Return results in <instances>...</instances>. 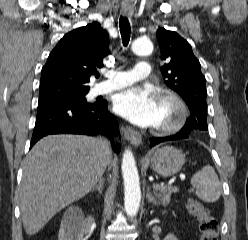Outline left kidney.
I'll use <instances>...</instances> for the list:
<instances>
[{"label":"left kidney","instance_id":"obj_1","mask_svg":"<svg viewBox=\"0 0 248 240\" xmlns=\"http://www.w3.org/2000/svg\"><path fill=\"white\" fill-rule=\"evenodd\" d=\"M164 240H178V239L173 234H169L165 237Z\"/></svg>","mask_w":248,"mask_h":240}]
</instances>
